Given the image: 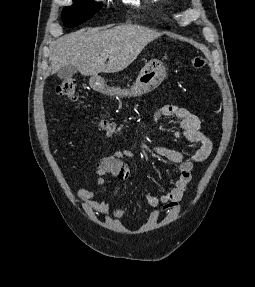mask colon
Instances as JSON below:
<instances>
[{"mask_svg":"<svg viewBox=\"0 0 255 287\" xmlns=\"http://www.w3.org/2000/svg\"><path fill=\"white\" fill-rule=\"evenodd\" d=\"M207 64V61L202 56H195L189 60V65L195 69L200 70L204 68ZM58 95L65 97L71 101H76L78 98V92L76 87V82L73 78H65L57 86ZM100 127L109 134H113L118 131V128L115 124L111 122L101 121Z\"/></svg>","mask_w":255,"mask_h":287,"instance_id":"5ec220e1","label":"colon"}]
</instances>
